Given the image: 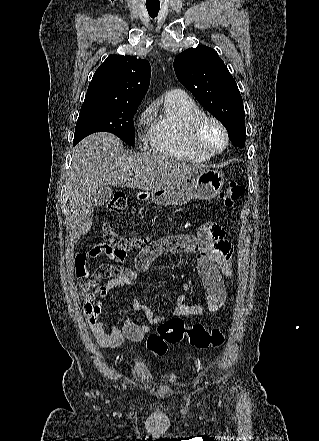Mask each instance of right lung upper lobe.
<instances>
[{"instance_id": "right-lung-upper-lobe-1", "label": "right lung upper lobe", "mask_w": 319, "mask_h": 441, "mask_svg": "<svg viewBox=\"0 0 319 441\" xmlns=\"http://www.w3.org/2000/svg\"><path fill=\"white\" fill-rule=\"evenodd\" d=\"M150 76L151 67L147 60L111 55L96 70L84 102L139 105L147 93Z\"/></svg>"}]
</instances>
